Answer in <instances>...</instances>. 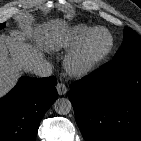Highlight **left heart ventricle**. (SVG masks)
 <instances>
[{"instance_id": "b2bd125f", "label": "left heart ventricle", "mask_w": 141, "mask_h": 141, "mask_svg": "<svg viewBox=\"0 0 141 141\" xmlns=\"http://www.w3.org/2000/svg\"><path fill=\"white\" fill-rule=\"evenodd\" d=\"M108 42L109 38L106 33L99 32L95 34L87 45L86 56L94 57L99 55L106 49Z\"/></svg>"}]
</instances>
